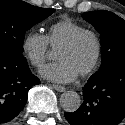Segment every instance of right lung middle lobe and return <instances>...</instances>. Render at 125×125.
<instances>
[{
	"label": "right lung middle lobe",
	"instance_id": "right-lung-middle-lobe-1",
	"mask_svg": "<svg viewBox=\"0 0 125 125\" xmlns=\"http://www.w3.org/2000/svg\"><path fill=\"white\" fill-rule=\"evenodd\" d=\"M54 11L21 0H0V46L22 54L26 31Z\"/></svg>",
	"mask_w": 125,
	"mask_h": 125
}]
</instances>
